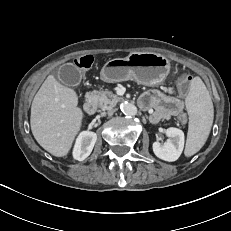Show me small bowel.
Instances as JSON below:
<instances>
[{"instance_id":"small-bowel-1","label":"small bowel","mask_w":231,"mask_h":231,"mask_svg":"<svg viewBox=\"0 0 231 231\" xmlns=\"http://www.w3.org/2000/svg\"><path fill=\"white\" fill-rule=\"evenodd\" d=\"M140 106L143 109H154L150 121L157 123L183 114L184 102L171 95V89L165 88V92L150 90L140 98Z\"/></svg>"}]
</instances>
